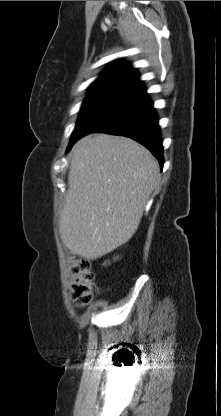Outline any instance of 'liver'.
<instances>
[{"instance_id":"6515ba94","label":"liver","mask_w":221,"mask_h":416,"mask_svg":"<svg viewBox=\"0 0 221 416\" xmlns=\"http://www.w3.org/2000/svg\"><path fill=\"white\" fill-rule=\"evenodd\" d=\"M159 165L136 141L88 135L72 148L60 235L74 254L94 260L136 232L159 180Z\"/></svg>"}]
</instances>
